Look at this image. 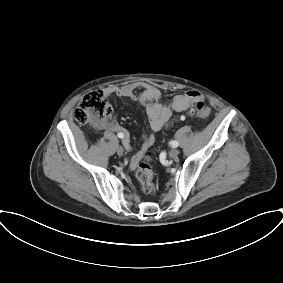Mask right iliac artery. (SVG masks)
Returning <instances> with one entry per match:
<instances>
[{"mask_svg":"<svg viewBox=\"0 0 283 283\" xmlns=\"http://www.w3.org/2000/svg\"><path fill=\"white\" fill-rule=\"evenodd\" d=\"M117 135H118V137L121 138V139L124 137V134H123V133H118Z\"/></svg>","mask_w":283,"mask_h":283,"instance_id":"1","label":"right iliac artery"}]
</instances>
